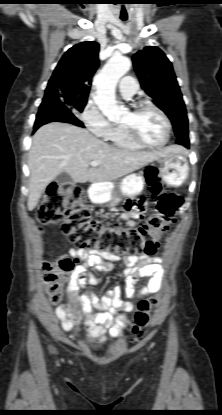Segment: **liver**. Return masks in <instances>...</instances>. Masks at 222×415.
Masks as SVG:
<instances>
[{
    "instance_id": "obj_1",
    "label": "liver",
    "mask_w": 222,
    "mask_h": 415,
    "mask_svg": "<svg viewBox=\"0 0 222 415\" xmlns=\"http://www.w3.org/2000/svg\"><path fill=\"white\" fill-rule=\"evenodd\" d=\"M174 152L185 153V149L172 145L153 151L124 150L97 139L86 129L48 123L34 134L28 155V210L37 206L46 187L62 172L78 183L109 182ZM92 161L100 165L92 167Z\"/></svg>"
}]
</instances>
